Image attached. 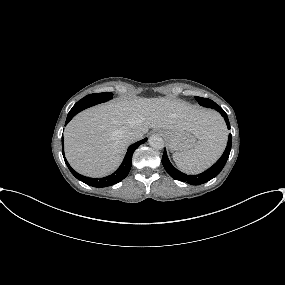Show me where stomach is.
Instances as JSON below:
<instances>
[{
	"label": "stomach",
	"mask_w": 285,
	"mask_h": 285,
	"mask_svg": "<svg viewBox=\"0 0 285 285\" xmlns=\"http://www.w3.org/2000/svg\"><path fill=\"white\" fill-rule=\"evenodd\" d=\"M161 133L172 151L186 153L197 143L196 136L188 131L162 130Z\"/></svg>",
	"instance_id": "0dacf381"
}]
</instances>
